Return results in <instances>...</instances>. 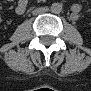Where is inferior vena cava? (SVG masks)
I'll return each mask as SVG.
<instances>
[{
    "mask_svg": "<svg viewBox=\"0 0 91 91\" xmlns=\"http://www.w3.org/2000/svg\"><path fill=\"white\" fill-rule=\"evenodd\" d=\"M49 9L48 8H39V9H34L33 13L34 14H41V13H48Z\"/></svg>",
    "mask_w": 91,
    "mask_h": 91,
    "instance_id": "inferior-vena-cava-1",
    "label": "inferior vena cava"
}]
</instances>
